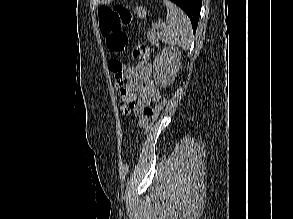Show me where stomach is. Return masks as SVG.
<instances>
[{
	"label": "stomach",
	"mask_w": 293,
	"mask_h": 219,
	"mask_svg": "<svg viewBox=\"0 0 293 219\" xmlns=\"http://www.w3.org/2000/svg\"><path fill=\"white\" fill-rule=\"evenodd\" d=\"M133 12L134 14L136 13L139 18H145L147 14V10L142 6L136 7Z\"/></svg>",
	"instance_id": "1"
}]
</instances>
